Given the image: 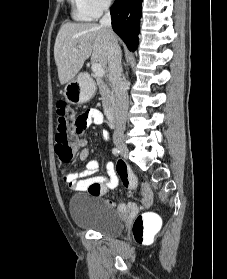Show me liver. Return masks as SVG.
I'll return each mask as SVG.
<instances>
[{
  "mask_svg": "<svg viewBox=\"0 0 227 279\" xmlns=\"http://www.w3.org/2000/svg\"><path fill=\"white\" fill-rule=\"evenodd\" d=\"M113 36L116 39L114 33ZM108 40V30L96 23L63 24L54 45V59L60 84L63 85L73 79L90 56L93 63L106 67Z\"/></svg>",
  "mask_w": 227,
  "mask_h": 279,
  "instance_id": "1",
  "label": "liver"
}]
</instances>
